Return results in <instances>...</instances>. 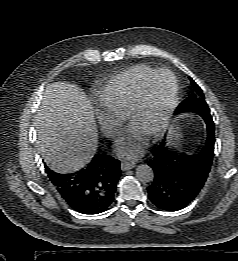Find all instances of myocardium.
<instances>
[{"instance_id":"myocardium-1","label":"myocardium","mask_w":238,"mask_h":261,"mask_svg":"<svg viewBox=\"0 0 238 261\" xmlns=\"http://www.w3.org/2000/svg\"><path fill=\"white\" fill-rule=\"evenodd\" d=\"M167 73L172 76L174 81V87L172 93L169 97V100L164 108L163 114L161 115L160 119L151 130L150 134L152 136L159 135L169 124L170 119L172 117L173 111L176 106L178 94H179V80L177 75L168 68H160L154 70L150 73L140 84L135 99L128 111L127 118L129 122H132L134 117L141 112L144 107L145 100H146V91L149 83L158 75Z\"/></svg>"}]
</instances>
